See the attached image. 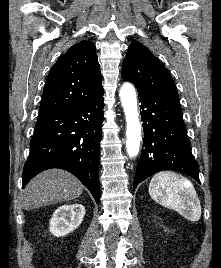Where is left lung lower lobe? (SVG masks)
Instances as JSON below:
<instances>
[{
  "mask_svg": "<svg viewBox=\"0 0 221 268\" xmlns=\"http://www.w3.org/2000/svg\"><path fill=\"white\" fill-rule=\"evenodd\" d=\"M144 141L133 190L161 170H176L199 181V166L190 151V140L178 98L138 92Z\"/></svg>",
  "mask_w": 221,
  "mask_h": 268,
  "instance_id": "0a47b994",
  "label": "left lung lower lobe"
}]
</instances>
